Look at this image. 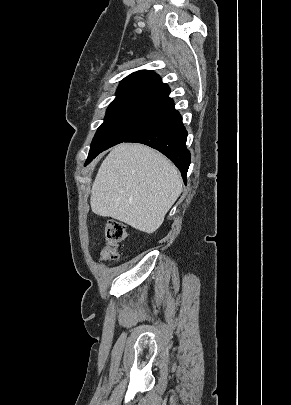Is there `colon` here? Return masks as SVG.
<instances>
[{
  "label": "colon",
  "instance_id": "obj_1",
  "mask_svg": "<svg viewBox=\"0 0 291 405\" xmlns=\"http://www.w3.org/2000/svg\"><path fill=\"white\" fill-rule=\"evenodd\" d=\"M127 229L125 225L116 220H109L105 225L106 244L101 251L103 261H114L119 257L118 248L126 238Z\"/></svg>",
  "mask_w": 291,
  "mask_h": 405
}]
</instances>
